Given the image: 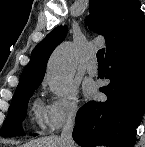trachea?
Instances as JSON below:
<instances>
[{
	"instance_id": "3493384b",
	"label": "trachea",
	"mask_w": 145,
	"mask_h": 147,
	"mask_svg": "<svg viewBox=\"0 0 145 147\" xmlns=\"http://www.w3.org/2000/svg\"><path fill=\"white\" fill-rule=\"evenodd\" d=\"M104 51L105 49L102 48L97 52L98 65H104Z\"/></svg>"
}]
</instances>
